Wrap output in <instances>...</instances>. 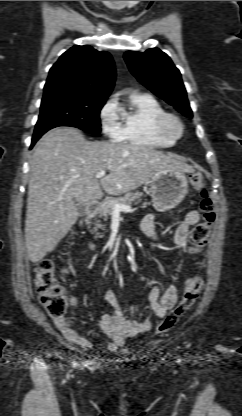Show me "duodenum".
<instances>
[{
    "instance_id": "duodenum-1",
    "label": "duodenum",
    "mask_w": 242,
    "mask_h": 416,
    "mask_svg": "<svg viewBox=\"0 0 242 416\" xmlns=\"http://www.w3.org/2000/svg\"><path fill=\"white\" fill-rule=\"evenodd\" d=\"M98 208H99L98 202L91 203L87 209L86 218L91 217Z\"/></svg>"
}]
</instances>
